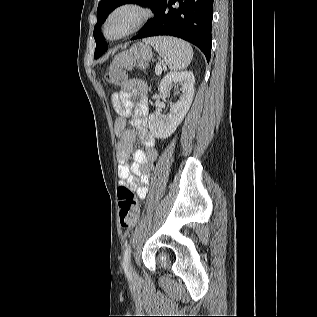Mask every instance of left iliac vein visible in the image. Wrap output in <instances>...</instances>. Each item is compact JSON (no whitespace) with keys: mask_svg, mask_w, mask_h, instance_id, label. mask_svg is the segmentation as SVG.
<instances>
[{"mask_svg":"<svg viewBox=\"0 0 317 317\" xmlns=\"http://www.w3.org/2000/svg\"><path fill=\"white\" fill-rule=\"evenodd\" d=\"M129 274H130V276H131L133 279H135V278L137 277L136 272H135V269H134L133 265H131V264H130V267H129Z\"/></svg>","mask_w":317,"mask_h":317,"instance_id":"1","label":"left iliac vein"}]
</instances>
